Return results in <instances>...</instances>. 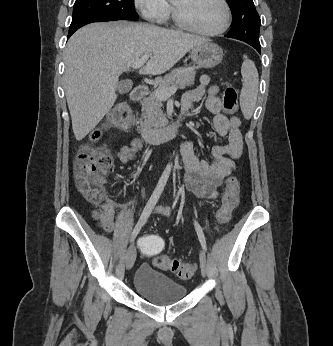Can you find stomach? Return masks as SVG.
<instances>
[{"label": "stomach", "instance_id": "0dacf381", "mask_svg": "<svg viewBox=\"0 0 333 346\" xmlns=\"http://www.w3.org/2000/svg\"><path fill=\"white\" fill-rule=\"evenodd\" d=\"M191 59L199 67L213 68L217 66L223 57L222 49L210 42L206 41L191 49Z\"/></svg>", "mask_w": 333, "mask_h": 346}]
</instances>
